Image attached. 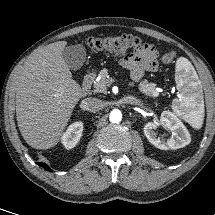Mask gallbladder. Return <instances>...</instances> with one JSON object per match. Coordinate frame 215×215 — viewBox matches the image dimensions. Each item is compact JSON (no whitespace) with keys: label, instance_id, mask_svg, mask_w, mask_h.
<instances>
[{"label":"gallbladder","instance_id":"gallbladder-1","mask_svg":"<svg viewBox=\"0 0 215 215\" xmlns=\"http://www.w3.org/2000/svg\"><path fill=\"white\" fill-rule=\"evenodd\" d=\"M62 57L70 69L78 70L86 58L85 47L81 44L66 46L62 51Z\"/></svg>","mask_w":215,"mask_h":215}]
</instances>
